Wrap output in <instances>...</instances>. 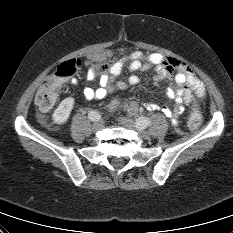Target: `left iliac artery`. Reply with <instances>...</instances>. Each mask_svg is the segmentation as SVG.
<instances>
[{"label": "left iliac artery", "mask_w": 233, "mask_h": 233, "mask_svg": "<svg viewBox=\"0 0 233 233\" xmlns=\"http://www.w3.org/2000/svg\"><path fill=\"white\" fill-rule=\"evenodd\" d=\"M150 122H151V121L149 120V118L140 117V118L137 120L136 124H137L138 126H141L142 128H146L147 126L150 125Z\"/></svg>", "instance_id": "44dca946"}]
</instances>
